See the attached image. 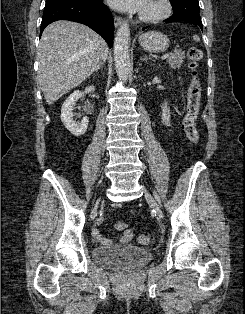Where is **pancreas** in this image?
I'll return each instance as SVG.
<instances>
[{"label": "pancreas", "instance_id": "cf45deb5", "mask_svg": "<svg viewBox=\"0 0 245 314\" xmlns=\"http://www.w3.org/2000/svg\"><path fill=\"white\" fill-rule=\"evenodd\" d=\"M185 54L182 50H176L171 53L170 57L167 60V63L171 66L172 69L180 68L183 64Z\"/></svg>", "mask_w": 245, "mask_h": 314}]
</instances>
